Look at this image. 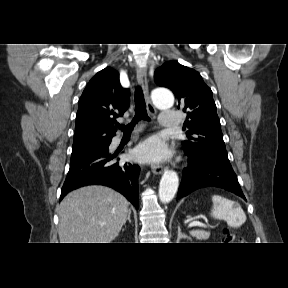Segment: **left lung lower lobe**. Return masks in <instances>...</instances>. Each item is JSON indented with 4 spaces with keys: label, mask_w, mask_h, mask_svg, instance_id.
Masks as SVG:
<instances>
[{
    "label": "left lung lower lobe",
    "mask_w": 288,
    "mask_h": 288,
    "mask_svg": "<svg viewBox=\"0 0 288 288\" xmlns=\"http://www.w3.org/2000/svg\"><path fill=\"white\" fill-rule=\"evenodd\" d=\"M187 155L189 164L183 170L177 199L203 187L223 188L245 199L231 164L206 155Z\"/></svg>",
    "instance_id": "obj_1"
}]
</instances>
